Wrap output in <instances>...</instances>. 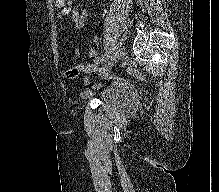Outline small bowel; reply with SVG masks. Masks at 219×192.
<instances>
[{
    "label": "small bowel",
    "mask_w": 219,
    "mask_h": 192,
    "mask_svg": "<svg viewBox=\"0 0 219 192\" xmlns=\"http://www.w3.org/2000/svg\"><path fill=\"white\" fill-rule=\"evenodd\" d=\"M71 2L72 0H67V5L63 3L62 5L58 6L60 8V16H66L72 13L70 21L74 23L75 28L77 30H83L85 29L87 25V19H88L89 13L87 10L77 11L75 9H72ZM93 42L95 44H98L100 42V38L98 36H95L93 38ZM74 53L76 56L81 55V51L78 48L74 49ZM89 57L94 61V65L86 66L85 69L91 70L93 69L94 66H96L100 62V57L96 49H91L89 51Z\"/></svg>",
    "instance_id": "1"
}]
</instances>
